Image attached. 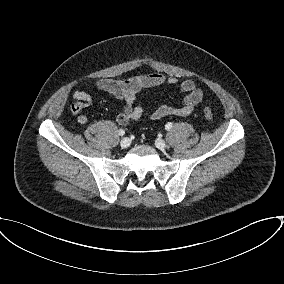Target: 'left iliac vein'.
Segmentation results:
<instances>
[{"label":"left iliac vein","instance_id":"1","mask_svg":"<svg viewBox=\"0 0 284 284\" xmlns=\"http://www.w3.org/2000/svg\"><path fill=\"white\" fill-rule=\"evenodd\" d=\"M155 145L158 149L163 150L166 147V142L163 139H157Z\"/></svg>","mask_w":284,"mask_h":284}]
</instances>
